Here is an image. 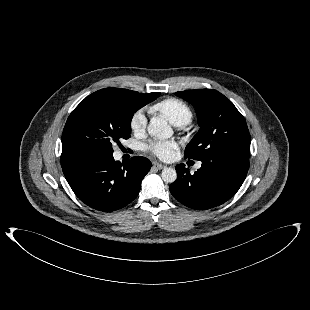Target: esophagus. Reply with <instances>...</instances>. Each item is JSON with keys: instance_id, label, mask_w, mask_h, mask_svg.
<instances>
[{"instance_id": "esophagus-1", "label": "esophagus", "mask_w": 310, "mask_h": 310, "mask_svg": "<svg viewBox=\"0 0 310 310\" xmlns=\"http://www.w3.org/2000/svg\"><path fill=\"white\" fill-rule=\"evenodd\" d=\"M153 166L156 167L159 170L164 169L166 167L164 164H161V163H158V162L153 163Z\"/></svg>"}]
</instances>
